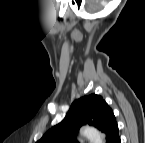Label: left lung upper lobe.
Listing matches in <instances>:
<instances>
[{"instance_id":"left-lung-upper-lobe-1","label":"left lung upper lobe","mask_w":145,"mask_h":143,"mask_svg":"<svg viewBox=\"0 0 145 143\" xmlns=\"http://www.w3.org/2000/svg\"><path fill=\"white\" fill-rule=\"evenodd\" d=\"M88 123L106 134V143L119 136L112 109L96 94L75 100L65 119L47 131L38 143H77L74 136L81 125Z\"/></svg>"}]
</instances>
